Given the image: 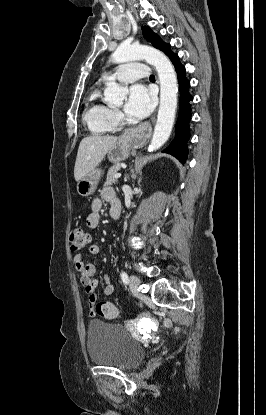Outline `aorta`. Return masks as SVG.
<instances>
[{
  "mask_svg": "<svg viewBox=\"0 0 266 415\" xmlns=\"http://www.w3.org/2000/svg\"><path fill=\"white\" fill-rule=\"evenodd\" d=\"M112 59L115 63L146 60L156 68L160 81V106L149 145V151H155L169 139L175 120L178 85L174 67L162 52L145 45L122 43L112 54ZM127 92V88L120 87L115 81H108L104 92L105 101L111 105H119Z\"/></svg>",
  "mask_w": 266,
  "mask_h": 415,
  "instance_id": "aorta-1",
  "label": "aorta"
}]
</instances>
